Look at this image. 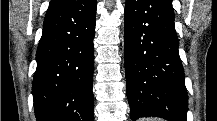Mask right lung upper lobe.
Instances as JSON below:
<instances>
[{"instance_id": "cb5924a9", "label": "right lung upper lobe", "mask_w": 217, "mask_h": 121, "mask_svg": "<svg viewBox=\"0 0 217 121\" xmlns=\"http://www.w3.org/2000/svg\"><path fill=\"white\" fill-rule=\"evenodd\" d=\"M53 1H58V0H51V2H53Z\"/></svg>"}]
</instances>
